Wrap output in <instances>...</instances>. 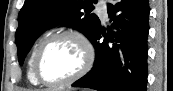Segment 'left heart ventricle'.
I'll list each match as a JSON object with an SVG mask.
<instances>
[{
  "label": "left heart ventricle",
  "instance_id": "b2bd125f",
  "mask_svg": "<svg viewBox=\"0 0 173 91\" xmlns=\"http://www.w3.org/2000/svg\"><path fill=\"white\" fill-rule=\"evenodd\" d=\"M83 51L71 38H60L50 43L40 60L41 76L49 82L62 81L76 73L83 63Z\"/></svg>",
  "mask_w": 173,
  "mask_h": 91
}]
</instances>
